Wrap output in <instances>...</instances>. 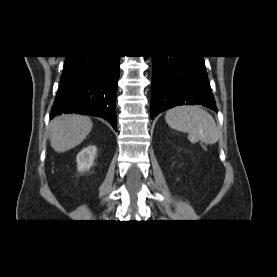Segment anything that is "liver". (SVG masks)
I'll return each mask as SVG.
<instances>
[{
    "label": "liver",
    "mask_w": 277,
    "mask_h": 277,
    "mask_svg": "<svg viewBox=\"0 0 277 277\" xmlns=\"http://www.w3.org/2000/svg\"><path fill=\"white\" fill-rule=\"evenodd\" d=\"M93 126L87 116L68 114L54 118L50 123V144L56 152H66L79 145Z\"/></svg>",
    "instance_id": "obj_1"
}]
</instances>
